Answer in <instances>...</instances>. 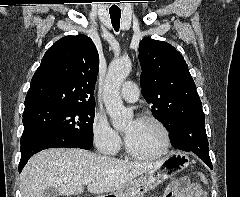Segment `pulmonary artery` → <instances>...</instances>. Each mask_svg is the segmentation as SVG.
I'll use <instances>...</instances> for the list:
<instances>
[{
    "instance_id": "1",
    "label": "pulmonary artery",
    "mask_w": 240,
    "mask_h": 197,
    "mask_svg": "<svg viewBox=\"0 0 240 197\" xmlns=\"http://www.w3.org/2000/svg\"><path fill=\"white\" fill-rule=\"evenodd\" d=\"M120 95L127 102H135L139 98L138 86L132 81H126L120 90Z\"/></svg>"
}]
</instances>
